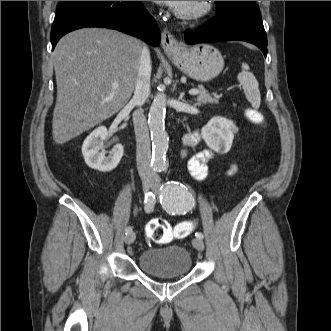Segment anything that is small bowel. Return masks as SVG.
<instances>
[{
	"mask_svg": "<svg viewBox=\"0 0 331 331\" xmlns=\"http://www.w3.org/2000/svg\"><path fill=\"white\" fill-rule=\"evenodd\" d=\"M199 140L200 134L198 131H193L184 135L182 153L185 154L189 147L197 145ZM212 157L213 154L210 150H202L190 157L188 160V170L193 178L202 181L207 177L209 171L208 163ZM235 172L236 166L232 165L227 171V174L233 175Z\"/></svg>",
	"mask_w": 331,
	"mask_h": 331,
	"instance_id": "c3829d8e",
	"label": "small bowel"
}]
</instances>
